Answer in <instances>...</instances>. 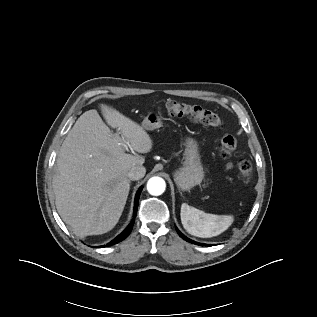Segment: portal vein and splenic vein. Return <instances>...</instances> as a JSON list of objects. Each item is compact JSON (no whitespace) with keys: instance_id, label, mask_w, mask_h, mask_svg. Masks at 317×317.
Instances as JSON below:
<instances>
[{"instance_id":"portal-vein-and-splenic-vein-1","label":"portal vein and splenic vein","mask_w":317,"mask_h":317,"mask_svg":"<svg viewBox=\"0 0 317 317\" xmlns=\"http://www.w3.org/2000/svg\"><path fill=\"white\" fill-rule=\"evenodd\" d=\"M116 134H119V133H116ZM122 145L125 149H127V146H129V141L123 142Z\"/></svg>"}]
</instances>
